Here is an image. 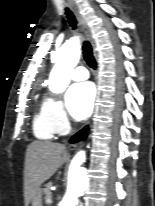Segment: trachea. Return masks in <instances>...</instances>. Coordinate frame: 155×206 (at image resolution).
Returning a JSON list of instances; mask_svg holds the SVG:
<instances>
[{
    "instance_id": "trachea-1",
    "label": "trachea",
    "mask_w": 155,
    "mask_h": 206,
    "mask_svg": "<svg viewBox=\"0 0 155 206\" xmlns=\"http://www.w3.org/2000/svg\"><path fill=\"white\" fill-rule=\"evenodd\" d=\"M66 15H67V18H68V21L71 27L75 30L77 22H76L75 16L68 8H66ZM82 49H83V56H84L85 61L91 68L95 69L96 61L94 59L90 43L88 41H84Z\"/></svg>"
}]
</instances>
